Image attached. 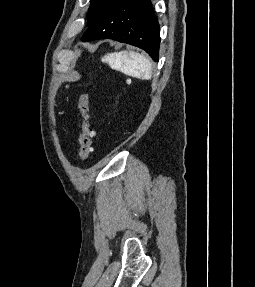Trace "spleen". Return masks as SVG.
Returning a JSON list of instances; mask_svg holds the SVG:
<instances>
[{
    "label": "spleen",
    "mask_w": 255,
    "mask_h": 287,
    "mask_svg": "<svg viewBox=\"0 0 255 287\" xmlns=\"http://www.w3.org/2000/svg\"><path fill=\"white\" fill-rule=\"evenodd\" d=\"M102 62L109 64L112 70H122L127 76L138 78V80H151L152 64L145 56L136 52H115L107 54Z\"/></svg>",
    "instance_id": "1"
}]
</instances>
